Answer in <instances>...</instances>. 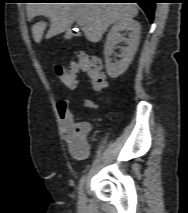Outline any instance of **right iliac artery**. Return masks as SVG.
Wrapping results in <instances>:
<instances>
[{
  "label": "right iliac artery",
  "mask_w": 188,
  "mask_h": 213,
  "mask_svg": "<svg viewBox=\"0 0 188 213\" xmlns=\"http://www.w3.org/2000/svg\"><path fill=\"white\" fill-rule=\"evenodd\" d=\"M85 180H86V176H83L80 181H79V186H78V190H79V199L82 198V188H83V185L85 183Z\"/></svg>",
  "instance_id": "obj_1"
}]
</instances>
